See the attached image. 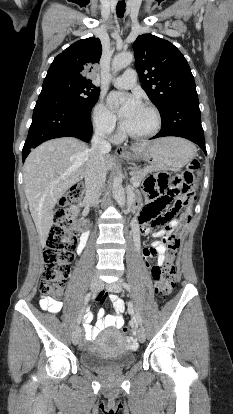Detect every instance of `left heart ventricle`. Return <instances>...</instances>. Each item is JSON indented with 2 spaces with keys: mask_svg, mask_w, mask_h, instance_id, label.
Segmentation results:
<instances>
[{
  "mask_svg": "<svg viewBox=\"0 0 233 414\" xmlns=\"http://www.w3.org/2000/svg\"><path fill=\"white\" fill-rule=\"evenodd\" d=\"M123 124L134 134H146L154 129L156 119L150 110L141 107Z\"/></svg>",
  "mask_w": 233,
  "mask_h": 414,
  "instance_id": "b2bd125f",
  "label": "left heart ventricle"
}]
</instances>
